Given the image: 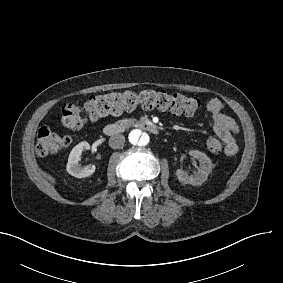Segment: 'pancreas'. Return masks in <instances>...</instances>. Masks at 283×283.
<instances>
[{
	"mask_svg": "<svg viewBox=\"0 0 283 283\" xmlns=\"http://www.w3.org/2000/svg\"><path fill=\"white\" fill-rule=\"evenodd\" d=\"M124 122H125V121H121V122H120V125H123V124H124Z\"/></svg>",
	"mask_w": 283,
	"mask_h": 283,
	"instance_id": "cf45deb5",
	"label": "pancreas"
}]
</instances>
